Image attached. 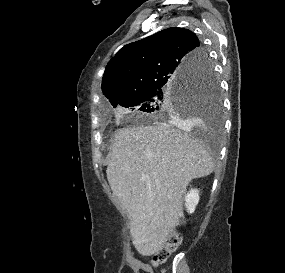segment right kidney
<instances>
[{
  "label": "right kidney",
  "instance_id": "1",
  "mask_svg": "<svg viewBox=\"0 0 285 273\" xmlns=\"http://www.w3.org/2000/svg\"><path fill=\"white\" fill-rule=\"evenodd\" d=\"M199 190L191 189L185 196V205L189 213H193L199 202Z\"/></svg>",
  "mask_w": 285,
  "mask_h": 273
}]
</instances>
